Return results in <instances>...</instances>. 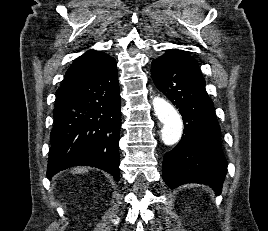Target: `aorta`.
Here are the masks:
<instances>
[{"label":"aorta","instance_id":"aorta-1","mask_svg":"<svg viewBox=\"0 0 268 231\" xmlns=\"http://www.w3.org/2000/svg\"><path fill=\"white\" fill-rule=\"evenodd\" d=\"M155 115L163 123L161 130L162 141L165 145H173L182 135L183 123L177 110L166 100L160 97L153 99Z\"/></svg>","mask_w":268,"mask_h":231}]
</instances>
